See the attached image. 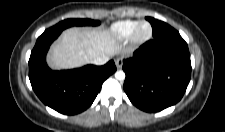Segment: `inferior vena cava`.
I'll list each match as a JSON object with an SVG mask.
<instances>
[{
    "instance_id": "inferior-vena-cava-1",
    "label": "inferior vena cava",
    "mask_w": 225,
    "mask_h": 132,
    "mask_svg": "<svg viewBox=\"0 0 225 132\" xmlns=\"http://www.w3.org/2000/svg\"><path fill=\"white\" fill-rule=\"evenodd\" d=\"M109 59H110L109 56H106V55L98 56L92 59L91 63L95 65H104L109 61Z\"/></svg>"
}]
</instances>
